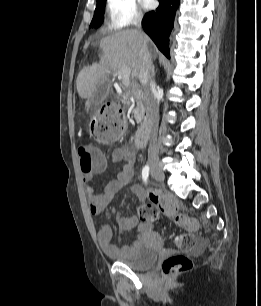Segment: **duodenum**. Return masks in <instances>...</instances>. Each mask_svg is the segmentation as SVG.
<instances>
[{"label": "duodenum", "instance_id": "1", "mask_svg": "<svg viewBox=\"0 0 261 306\" xmlns=\"http://www.w3.org/2000/svg\"><path fill=\"white\" fill-rule=\"evenodd\" d=\"M142 96H143V93L140 92L138 89H132V90L126 91L122 95V99L126 101L130 97L141 98ZM151 128H152V120L150 116L147 115L136 132L135 141H134L136 148L139 149L145 145L148 139L149 133L151 131Z\"/></svg>", "mask_w": 261, "mask_h": 306}]
</instances>
